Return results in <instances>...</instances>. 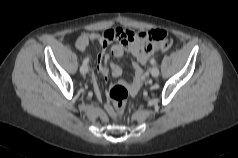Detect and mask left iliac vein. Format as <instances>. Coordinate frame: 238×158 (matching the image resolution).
I'll return each instance as SVG.
<instances>
[{
    "mask_svg": "<svg viewBox=\"0 0 238 158\" xmlns=\"http://www.w3.org/2000/svg\"><path fill=\"white\" fill-rule=\"evenodd\" d=\"M150 73L153 77H158L159 76V69L157 66H153L150 70Z\"/></svg>",
    "mask_w": 238,
    "mask_h": 158,
    "instance_id": "1",
    "label": "left iliac vein"
}]
</instances>
